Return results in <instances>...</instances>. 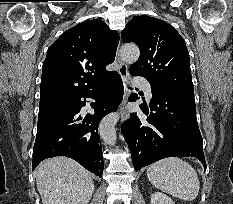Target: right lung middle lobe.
<instances>
[{
	"label": "right lung middle lobe",
	"mask_w": 233,
	"mask_h": 204,
	"mask_svg": "<svg viewBox=\"0 0 233 204\" xmlns=\"http://www.w3.org/2000/svg\"><path fill=\"white\" fill-rule=\"evenodd\" d=\"M70 101L71 99H61L40 103L38 123L55 116L56 114L67 108L70 105Z\"/></svg>",
	"instance_id": "dd1d6c3e"
}]
</instances>
